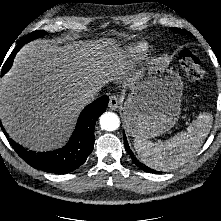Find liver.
Masks as SVG:
<instances>
[{
  "label": "liver",
  "mask_w": 221,
  "mask_h": 221,
  "mask_svg": "<svg viewBox=\"0 0 221 221\" xmlns=\"http://www.w3.org/2000/svg\"><path fill=\"white\" fill-rule=\"evenodd\" d=\"M93 51L38 40L17 53L0 85V119L11 138L34 150L65 140L84 106L78 94L111 80Z\"/></svg>",
  "instance_id": "1"
}]
</instances>
